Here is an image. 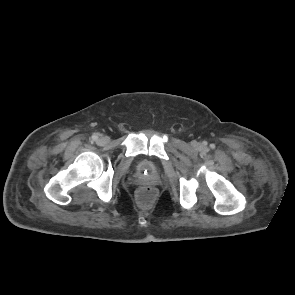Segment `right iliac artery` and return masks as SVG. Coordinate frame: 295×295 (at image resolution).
Segmentation results:
<instances>
[{
  "mask_svg": "<svg viewBox=\"0 0 295 295\" xmlns=\"http://www.w3.org/2000/svg\"><path fill=\"white\" fill-rule=\"evenodd\" d=\"M98 139V135L97 134H93L92 135V140L96 141Z\"/></svg>",
  "mask_w": 295,
  "mask_h": 295,
  "instance_id": "obj_1",
  "label": "right iliac artery"
}]
</instances>
